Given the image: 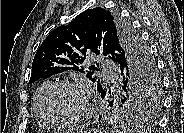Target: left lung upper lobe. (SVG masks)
Returning a JSON list of instances; mask_svg holds the SVG:
<instances>
[{
  "mask_svg": "<svg viewBox=\"0 0 184 133\" xmlns=\"http://www.w3.org/2000/svg\"><path fill=\"white\" fill-rule=\"evenodd\" d=\"M91 53L107 56L121 69L122 83L112 92L115 99L109 102L112 113L153 119L161 104L156 64L131 26L118 14L100 7L85 10L67 26H59L49 33L36 52L29 83L76 70L87 73L101 93L105 89L100 79L92 77L99 71V64L84 67L86 56Z\"/></svg>",
  "mask_w": 184,
  "mask_h": 133,
  "instance_id": "1",
  "label": "left lung upper lobe"
}]
</instances>
